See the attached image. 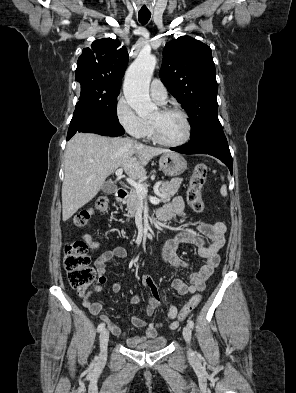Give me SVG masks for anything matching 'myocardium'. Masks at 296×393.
<instances>
[{
	"label": "myocardium",
	"instance_id": "f54148a6",
	"mask_svg": "<svg viewBox=\"0 0 296 393\" xmlns=\"http://www.w3.org/2000/svg\"><path fill=\"white\" fill-rule=\"evenodd\" d=\"M160 112L162 114H170V113L180 114L183 117L185 125H186V133H185V136L181 140H179V141H176V142L164 141L159 136L156 124L153 121H151L150 122V126H151V135H152L153 140L156 143H158L159 145H162V146H165V147H179V146H182L185 143H187L190 140L191 135H192V124H191L189 115L184 110H182L180 108H177V107L161 108Z\"/></svg>",
	"mask_w": 296,
	"mask_h": 393
}]
</instances>
